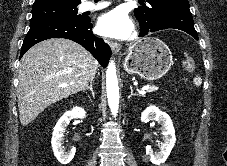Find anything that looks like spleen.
Masks as SVG:
<instances>
[{"label":"spleen","instance_id":"1","mask_svg":"<svg viewBox=\"0 0 227 166\" xmlns=\"http://www.w3.org/2000/svg\"><path fill=\"white\" fill-rule=\"evenodd\" d=\"M193 83H194L197 87H199V86L201 85V83H202L201 77H195V78L193 79Z\"/></svg>","mask_w":227,"mask_h":166}]
</instances>
